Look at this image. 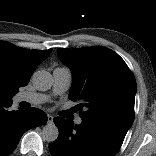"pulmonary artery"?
<instances>
[{
	"label": "pulmonary artery",
	"instance_id": "obj_1",
	"mask_svg": "<svg viewBox=\"0 0 156 156\" xmlns=\"http://www.w3.org/2000/svg\"><path fill=\"white\" fill-rule=\"evenodd\" d=\"M72 82V74L68 68L57 67L53 71V87L52 94L59 95L66 92ZM49 99L48 95L37 93V92H24L19 94L18 100L22 102H28L31 104L44 103ZM82 119L77 117L75 119L76 124H81Z\"/></svg>",
	"mask_w": 156,
	"mask_h": 156
}]
</instances>
